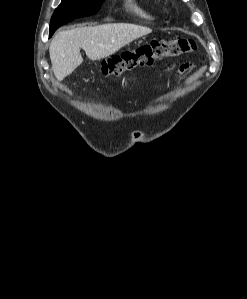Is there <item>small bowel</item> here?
<instances>
[{
  "mask_svg": "<svg viewBox=\"0 0 247 299\" xmlns=\"http://www.w3.org/2000/svg\"><path fill=\"white\" fill-rule=\"evenodd\" d=\"M185 66L180 67V71H182L184 69Z\"/></svg>",
  "mask_w": 247,
  "mask_h": 299,
  "instance_id": "obj_1",
  "label": "small bowel"
}]
</instances>
